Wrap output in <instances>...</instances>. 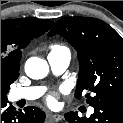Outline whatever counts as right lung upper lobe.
Wrapping results in <instances>:
<instances>
[{
	"mask_svg": "<svg viewBox=\"0 0 123 123\" xmlns=\"http://www.w3.org/2000/svg\"><path fill=\"white\" fill-rule=\"evenodd\" d=\"M53 22L30 18L1 21V96L18 78L22 50L34 38L50 29Z\"/></svg>",
	"mask_w": 123,
	"mask_h": 123,
	"instance_id": "right-lung-upper-lobe-1",
	"label": "right lung upper lobe"
}]
</instances>
